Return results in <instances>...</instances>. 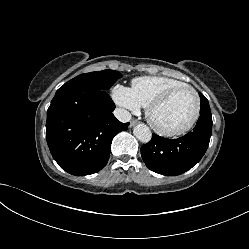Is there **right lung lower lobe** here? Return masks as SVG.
Listing matches in <instances>:
<instances>
[{"instance_id":"98d812e1","label":"right lung lower lobe","mask_w":249,"mask_h":249,"mask_svg":"<svg viewBox=\"0 0 249 249\" xmlns=\"http://www.w3.org/2000/svg\"><path fill=\"white\" fill-rule=\"evenodd\" d=\"M115 104L106 91L79 82L60 87L47 111L46 140L58 165L84 176L108 162L114 136L127 129L112 114Z\"/></svg>"}]
</instances>
